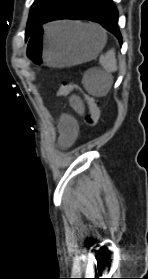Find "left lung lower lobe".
I'll list each match as a JSON object with an SVG mask.
<instances>
[{
	"label": "left lung lower lobe",
	"mask_w": 148,
	"mask_h": 279,
	"mask_svg": "<svg viewBox=\"0 0 148 279\" xmlns=\"http://www.w3.org/2000/svg\"><path fill=\"white\" fill-rule=\"evenodd\" d=\"M58 19L90 20L100 23L113 33L121 43L118 11L112 0H65L39 26ZM39 26L36 31L39 30Z\"/></svg>",
	"instance_id": "left-lung-lower-lobe-1"
}]
</instances>
